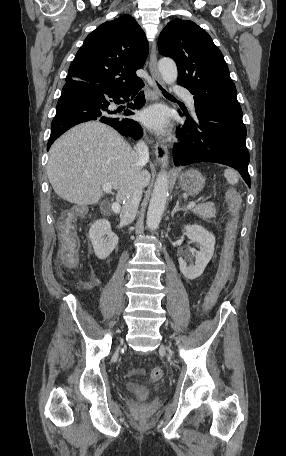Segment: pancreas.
<instances>
[{
    "label": "pancreas",
    "mask_w": 286,
    "mask_h": 456,
    "mask_svg": "<svg viewBox=\"0 0 286 456\" xmlns=\"http://www.w3.org/2000/svg\"><path fill=\"white\" fill-rule=\"evenodd\" d=\"M191 211L201 217L203 220H207L215 217L216 208L212 202L199 204L191 209Z\"/></svg>",
    "instance_id": "pancreas-1"
}]
</instances>
